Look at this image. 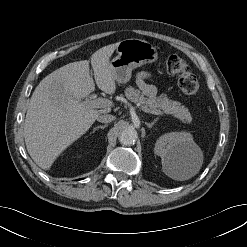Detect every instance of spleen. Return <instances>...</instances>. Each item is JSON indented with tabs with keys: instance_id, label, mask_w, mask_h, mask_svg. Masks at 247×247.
I'll return each instance as SVG.
<instances>
[{
	"instance_id": "spleen-1",
	"label": "spleen",
	"mask_w": 247,
	"mask_h": 247,
	"mask_svg": "<svg viewBox=\"0 0 247 247\" xmlns=\"http://www.w3.org/2000/svg\"><path fill=\"white\" fill-rule=\"evenodd\" d=\"M180 161H182V160H179L177 162H180ZM177 169L179 170V167L176 166V171L169 170V175L173 178H176V179L185 180V179H188L195 174V173H193L190 175H185L184 173L181 172V169H180V171H177Z\"/></svg>"
}]
</instances>
